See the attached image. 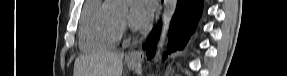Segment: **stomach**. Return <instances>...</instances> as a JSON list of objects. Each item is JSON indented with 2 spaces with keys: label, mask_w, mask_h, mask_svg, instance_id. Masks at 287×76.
Instances as JSON below:
<instances>
[{
  "label": "stomach",
  "mask_w": 287,
  "mask_h": 76,
  "mask_svg": "<svg viewBox=\"0 0 287 76\" xmlns=\"http://www.w3.org/2000/svg\"><path fill=\"white\" fill-rule=\"evenodd\" d=\"M127 65L129 67V69H134L135 67H137L139 65V62L128 60Z\"/></svg>",
  "instance_id": "stomach-1"
}]
</instances>
